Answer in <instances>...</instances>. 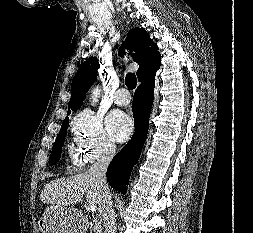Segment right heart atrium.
<instances>
[{
    "mask_svg": "<svg viewBox=\"0 0 253 233\" xmlns=\"http://www.w3.org/2000/svg\"><path fill=\"white\" fill-rule=\"evenodd\" d=\"M72 133L87 162L110 157L115 151V144L106 133L101 117L90 110H83L74 118Z\"/></svg>",
    "mask_w": 253,
    "mask_h": 233,
    "instance_id": "d8ad5b80",
    "label": "right heart atrium"
}]
</instances>
